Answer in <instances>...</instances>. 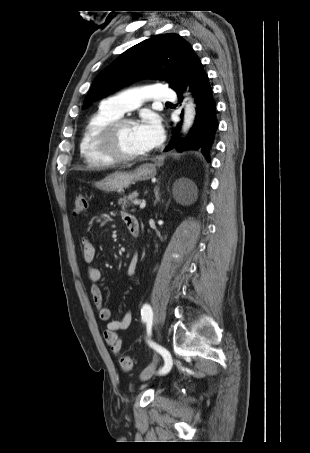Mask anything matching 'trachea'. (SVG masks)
<instances>
[{
	"mask_svg": "<svg viewBox=\"0 0 310 453\" xmlns=\"http://www.w3.org/2000/svg\"><path fill=\"white\" fill-rule=\"evenodd\" d=\"M166 104H170V102H166Z\"/></svg>",
	"mask_w": 310,
	"mask_h": 453,
	"instance_id": "obj_1",
	"label": "trachea"
}]
</instances>
